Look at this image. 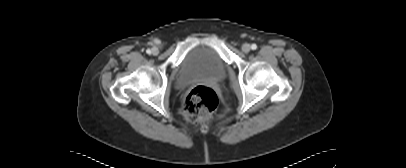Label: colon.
I'll return each instance as SVG.
<instances>
[{
    "label": "colon",
    "mask_w": 406,
    "mask_h": 168,
    "mask_svg": "<svg viewBox=\"0 0 406 168\" xmlns=\"http://www.w3.org/2000/svg\"><path fill=\"white\" fill-rule=\"evenodd\" d=\"M218 105L215 91L206 85H198L187 94L183 113L190 122H200L209 119L214 114Z\"/></svg>",
    "instance_id": "obj_1"
}]
</instances>
